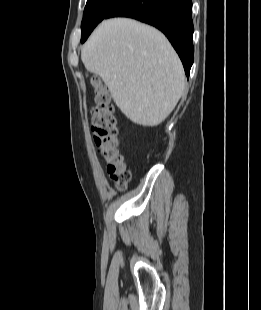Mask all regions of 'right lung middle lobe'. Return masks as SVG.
<instances>
[{
	"label": "right lung middle lobe",
	"mask_w": 261,
	"mask_h": 310,
	"mask_svg": "<svg viewBox=\"0 0 261 310\" xmlns=\"http://www.w3.org/2000/svg\"><path fill=\"white\" fill-rule=\"evenodd\" d=\"M123 1L125 0H87L81 24V39Z\"/></svg>",
	"instance_id": "dd1d6c3e"
}]
</instances>
